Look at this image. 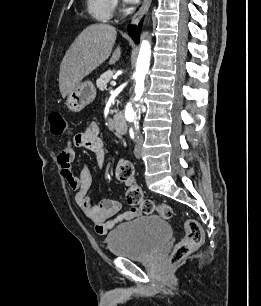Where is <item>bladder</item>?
Returning a JSON list of instances; mask_svg holds the SVG:
<instances>
[{"instance_id": "1", "label": "bladder", "mask_w": 261, "mask_h": 306, "mask_svg": "<svg viewBox=\"0 0 261 306\" xmlns=\"http://www.w3.org/2000/svg\"><path fill=\"white\" fill-rule=\"evenodd\" d=\"M169 223L159 215H145L119 225L106 237L109 251L133 261L151 259L170 239Z\"/></svg>"}]
</instances>
